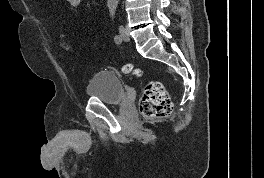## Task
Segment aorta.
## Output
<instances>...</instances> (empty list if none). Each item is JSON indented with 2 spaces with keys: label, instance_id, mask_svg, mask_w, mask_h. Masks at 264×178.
<instances>
[{
  "label": "aorta",
  "instance_id": "obj_1",
  "mask_svg": "<svg viewBox=\"0 0 264 178\" xmlns=\"http://www.w3.org/2000/svg\"><path fill=\"white\" fill-rule=\"evenodd\" d=\"M119 0H107V6L110 11H115Z\"/></svg>",
  "mask_w": 264,
  "mask_h": 178
}]
</instances>
